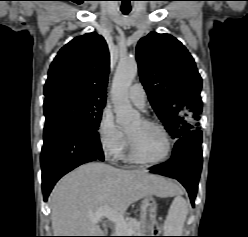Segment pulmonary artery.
Wrapping results in <instances>:
<instances>
[{
	"instance_id": "1",
	"label": "pulmonary artery",
	"mask_w": 248,
	"mask_h": 237,
	"mask_svg": "<svg viewBox=\"0 0 248 237\" xmlns=\"http://www.w3.org/2000/svg\"><path fill=\"white\" fill-rule=\"evenodd\" d=\"M128 97L130 101L138 106L144 108L146 104V93L141 83H134L128 90Z\"/></svg>"
}]
</instances>
